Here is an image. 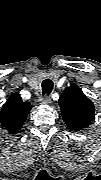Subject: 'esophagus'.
<instances>
[{
    "instance_id": "obj_1",
    "label": "esophagus",
    "mask_w": 101,
    "mask_h": 180,
    "mask_svg": "<svg viewBox=\"0 0 101 180\" xmlns=\"http://www.w3.org/2000/svg\"><path fill=\"white\" fill-rule=\"evenodd\" d=\"M39 102H40L41 104L48 105V104L51 103V98H50V96L45 95V96H43V97H41V98L39 99Z\"/></svg>"
}]
</instances>
